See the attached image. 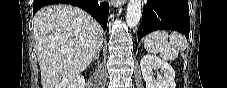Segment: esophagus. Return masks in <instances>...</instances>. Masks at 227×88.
Wrapping results in <instances>:
<instances>
[{
    "mask_svg": "<svg viewBox=\"0 0 227 88\" xmlns=\"http://www.w3.org/2000/svg\"><path fill=\"white\" fill-rule=\"evenodd\" d=\"M126 3V0H113L112 5L113 6H120Z\"/></svg>",
    "mask_w": 227,
    "mask_h": 88,
    "instance_id": "34e87169",
    "label": "esophagus"
}]
</instances>
